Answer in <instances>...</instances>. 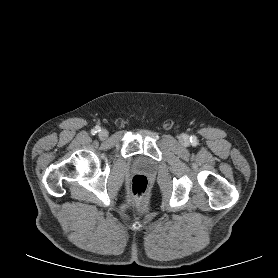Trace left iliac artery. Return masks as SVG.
Returning a JSON list of instances; mask_svg holds the SVG:
<instances>
[{
    "label": "left iliac artery",
    "mask_w": 278,
    "mask_h": 278,
    "mask_svg": "<svg viewBox=\"0 0 278 278\" xmlns=\"http://www.w3.org/2000/svg\"><path fill=\"white\" fill-rule=\"evenodd\" d=\"M191 139V142H195V139L194 138H190Z\"/></svg>",
    "instance_id": "obj_1"
}]
</instances>
